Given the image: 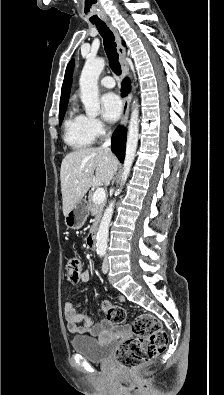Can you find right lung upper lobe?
I'll list each match as a JSON object with an SVG mask.
<instances>
[{
    "label": "right lung upper lobe",
    "instance_id": "right-lung-upper-lobe-1",
    "mask_svg": "<svg viewBox=\"0 0 224 395\" xmlns=\"http://www.w3.org/2000/svg\"><path fill=\"white\" fill-rule=\"evenodd\" d=\"M125 43L123 42V45ZM73 60H71L66 68L64 82L62 85V93L60 98V110L65 109L68 104L69 94H70V85H71V77L73 73Z\"/></svg>",
    "mask_w": 224,
    "mask_h": 395
}]
</instances>
